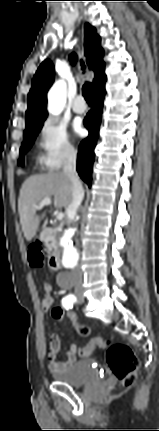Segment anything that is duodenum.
<instances>
[{
    "mask_svg": "<svg viewBox=\"0 0 159 431\" xmlns=\"http://www.w3.org/2000/svg\"><path fill=\"white\" fill-rule=\"evenodd\" d=\"M54 231L52 228H44L40 234V239L44 242L48 241L50 237L53 235ZM49 266L53 270H58L61 267L60 262V253L55 251L51 254L49 258Z\"/></svg>",
    "mask_w": 159,
    "mask_h": 431,
    "instance_id": "410a0bca",
    "label": "duodenum"
}]
</instances>
